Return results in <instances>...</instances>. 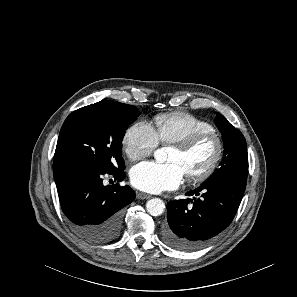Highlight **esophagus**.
<instances>
[{"mask_svg": "<svg viewBox=\"0 0 297 297\" xmlns=\"http://www.w3.org/2000/svg\"><path fill=\"white\" fill-rule=\"evenodd\" d=\"M137 199H149L151 198V195L149 194H146V193H143V192H137V195H136Z\"/></svg>", "mask_w": 297, "mask_h": 297, "instance_id": "esophagus-1", "label": "esophagus"}]
</instances>
